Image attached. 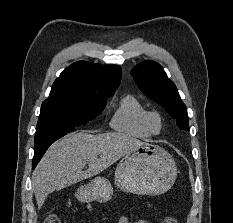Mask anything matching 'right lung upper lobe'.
<instances>
[{"mask_svg":"<svg viewBox=\"0 0 233 223\" xmlns=\"http://www.w3.org/2000/svg\"><path fill=\"white\" fill-rule=\"evenodd\" d=\"M120 79L119 66H101L79 61L66 68L55 80L49 98L105 101L118 88Z\"/></svg>","mask_w":233,"mask_h":223,"instance_id":"obj_1","label":"right lung upper lobe"}]
</instances>
